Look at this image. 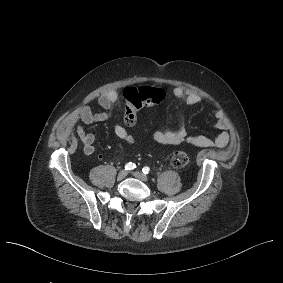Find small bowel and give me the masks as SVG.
<instances>
[{
    "instance_id": "small-bowel-1",
    "label": "small bowel",
    "mask_w": 283,
    "mask_h": 283,
    "mask_svg": "<svg viewBox=\"0 0 283 283\" xmlns=\"http://www.w3.org/2000/svg\"><path fill=\"white\" fill-rule=\"evenodd\" d=\"M173 95L188 106L195 105L201 100L199 95L179 86L173 88ZM117 100V92L110 91L104 93L98 99L101 111L94 112L89 106L85 105L79 110L77 115L67 119L65 125L66 129L75 130L78 139L83 145L85 155L90 156L95 152L96 138L94 134L84 131L83 127L78 124L79 121L86 125L104 121L111 122L113 124L114 133L118 138L119 148H122L124 143L134 144L136 142V137L117 122L115 114V104ZM213 118L215 121L214 126L219 131L215 139L203 135H189L185 127L174 131L157 130L153 133V139L163 145L188 143L196 147H225L229 142L230 123L222 110H216L213 114Z\"/></svg>"
}]
</instances>
